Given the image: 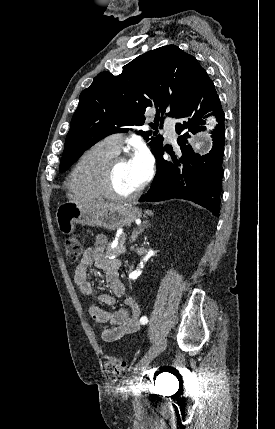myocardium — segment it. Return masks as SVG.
I'll use <instances>...</instances> for the list:
<instances>
[{
	"mask_svg": "<svg viewBox=\"0 0 275 429\" xmlns=\"http://www.w3.org/2000/svg\"><path fill=\"white\" fill-rule=\"evenodd\" d=\"M126 160H128L126 155L116 154L107 161L102 178V190L105 197L116 201H131L138 198L143 192L144 184H142L135 192L128 195L119 194L115 190L113 181L115 168L119 163Z\"/></svg>",
	"mask_w": 275,
	"mask_h": 429,
	"instance_id": "myocardium-1",
	"label": "myocardium"
}]
</instances>
